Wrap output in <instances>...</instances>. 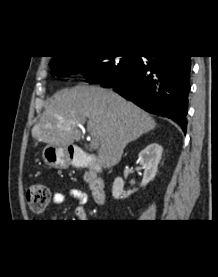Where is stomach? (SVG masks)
I'll list each match as a JSON object with an SVG mask.
<instances>
[{"label":"stomach","instance_id":"stomach-1","mask_svg":"<svg viewBox=\"0 0 218 277\" xmlns=\"http://www.w3.org/2000/svg\"><path fill=\"white\" fill-rule=\"evenodd\" d=\"M42 157L49 167L63 169L68 168L70 165L67 148L65 147L48 145L43 149Z\"/></svg>","mask_w":218,"mask_h":277}]
</instances>
